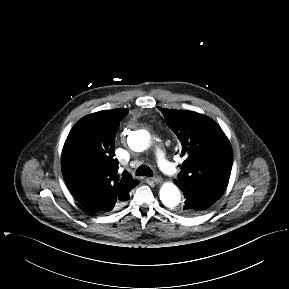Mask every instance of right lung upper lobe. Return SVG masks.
<instances>
[{
  "mask_svg": "<svg viewBox=\"0 0 289 289\" xmlns=\"http://www.w3.org/2000/svg\"><path fill=\"white\" fill-rule=\"evenodd\" d=\"M127 109L103 110L80 119L62 151L61 168L69 190L89 211L109 212L129 199L137 185L131 175L118 174L115 135Z\"/></svg>",
  "mask_w": 289,
  "mask_h": 289,
  "instance_id": "cb5924a9",
  "label": "right lung upper lobe"
}]
</instances>
